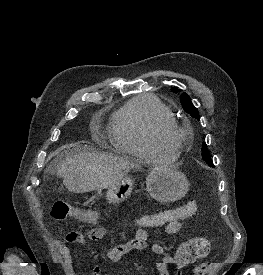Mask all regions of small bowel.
<instances>
[{
    "label": "small bowel",
    "instance_id": "c3829d8e",
    "mask_svg": "<svg viewBox=\"0 0 263 275\" xmlns=\"http://www.w3.org/2000/svg\"><path fill=\"white\" fill-rule=\"evenodd\" d=\"M181 230V223L179 221L170 222L164 225L163 232L167 235L177 234ZM106 234V230L102 227H96L88 231L86 234L80 232H70L66 236V240L70 243H76L83 246L89 255L94 259H98V253L88 246V241H97L102 239ZM151 234L144 228L139 227L131 239L124 243L112 246L106 253L109 262L116 263L120 261L125 255L132 251H147L160 258L156 263V269L159 275H170L169 265L174 264V257L168 254L164 248L155 242H150ZM53 243L59 253L64 258L67 264L72 262V255L70 248L58 240L54 239ZM92 275H108L103 274L102 266L97 263L92 269Z\"/></svg>",
    "mask_w": 263,
    "mask_h": 275
}]
</instances>
